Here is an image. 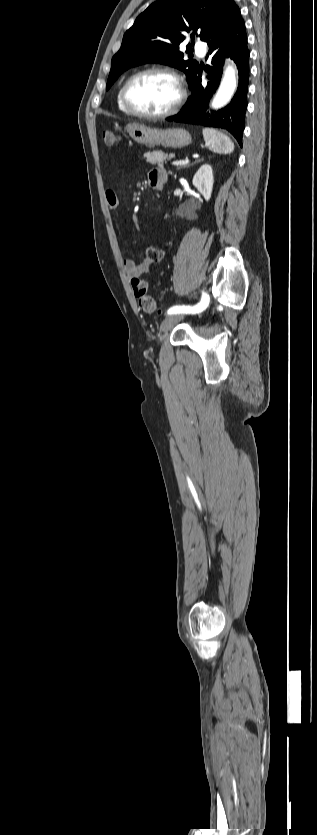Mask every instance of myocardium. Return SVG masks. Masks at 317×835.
Instances as JSON below:
<instances>
[{"instance_id": "1", "label": "myocardium", "mask_w": 317, "mask_h": 835, "mask_svg": "<svg viewBox=\"0 0 317 835\" xmlns=\"http://www.w3.org/2000/svg\"><path fill=\"white\" fill-rule=\"evenodd\" d=\"M149 74L166 75V76H168V77H170L171 79L174 80V82L176 83L177 88H178V97H177L176 101L174 102V104L170 108H168L167 110H165L163 112H160V113L142 112V111L138 110L132 104V102L130 101V98H129V90H130L131 85L137 79H139L143 76L149 75ZM121 98H122V102H123L124 106L130 112V114H132L134 116H137V117H140V118L154 120V119L166 118V117L172 116L175 113H177L179 111V109L181 108V106L183 105V102L186 98V90L184 88L183 81H182L181 77L178 75L177 72H175L172 69L166 68V67L154 66V67L145 68V69L140 70V71L134 73L133 75H131L125 81V83L122 87Z\"/></svg>"}]
</instances>
